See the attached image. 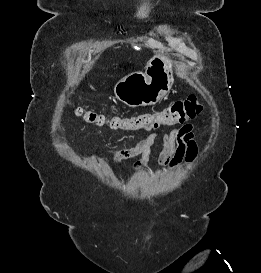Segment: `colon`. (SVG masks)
<instances>
[{"label":"colon","mask_w":261,"mask_h":273,"mask_svg":"<svg viewBox=\"0 0 261 273\" xmlns=\"http://www.w3.org/2000/svg\"><path fill=\"white\" fill-rule=\"evenodd\" d=\"M201 111L202 105L195 96L174 102L163 110L135 116L106 117L91 110H84L79 107L75 109L76 114L86 122L119 130H150L165 125L182 124L195 118Z\"/></svg>","instance_id":"colon-1"}]
</instances>
